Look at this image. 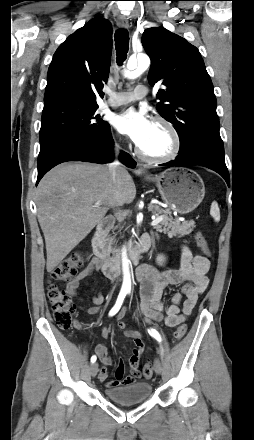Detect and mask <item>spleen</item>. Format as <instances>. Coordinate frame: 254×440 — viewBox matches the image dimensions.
Returning <instances> with one entry per match:
<instances>
[{
  "label": "spleen",
  "mask_w": 254,
  "mask_h": 440,
  "mask_svg": "<svg viewBox=\"0 0 254 440\" xmlns=\"http://www.w3.org/2000/svg\"><path fill=\"white\" fill-rule=\"evenodd\" d=\"M210 213L213 216L215 221H219L220 220L219 207H218V204L216 202L212 203Z\"/></svg>",
  "instance_id": "obj_1"
}]
</instances>
